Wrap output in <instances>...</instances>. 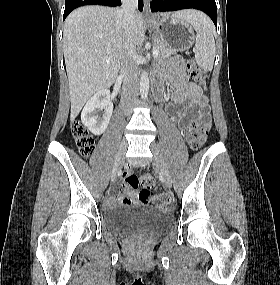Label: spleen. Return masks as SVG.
I'll return each mask as SVG.
<instances>
[{
  "label": "spleen",
  "instance_id": "3e777b00",
  "mask_svg": "<svg viewBox=\"0 0 280 285\" xmlns=\"http://www.w3.org/2000/svg\"><path fill=\"white\" fill-rule=\"evenodd\" d=\"M175 15L193 26L196 31L194 47L196 63L204 71H211L215 59V27L212 21L205 14L192 10L178 12Z\"/></svg>",
  "mask_w": 280,
  "mask_h": 285
}]
</instances>
